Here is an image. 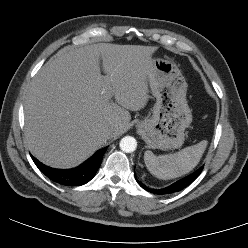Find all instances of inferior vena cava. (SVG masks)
I'll use <instances>...</instances> for the list:
<instances>
[{
  "label": "inferior vena cava",
  "instance_id": "602c4592",
  "mask_svg": "<svg viewBox=\"0 0 248 248\" xmlns=\"http://www.w3.org/2000/svg\"><path fill=\"white\" fill-rule=\"evenodd\" d=\"M114 131H115V129L113 127H109L107 129H105V134L107 137H110L113 135Z\"/></svg>",
  "mask_w": 248,
  "mask_h": 248
}]
</instances>
